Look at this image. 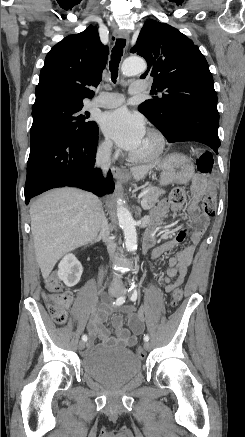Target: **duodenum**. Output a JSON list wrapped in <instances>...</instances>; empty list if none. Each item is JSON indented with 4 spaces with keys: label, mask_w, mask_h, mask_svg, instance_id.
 Here are the masks:
<instances>
[{
    "label": "duodenum",
    "mask_w": 245,
    "mask_h": 437,
    "mask_svg": "<svg viewBox=\"0 0 245 437\" xmlns=\"http://www.w3.org/2000/svg\"><path fill=\"white\" fill-rule=\"evenodd\" d=\"M153 242V232L148 229L144 234V245L145 248L148 249Z\"/></svg>",
    "instance_id": "1"
}]
</instances>
